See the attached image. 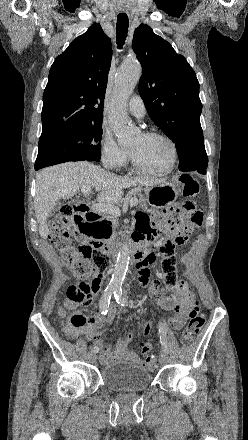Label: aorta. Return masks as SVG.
<instances>
[{"label": "aorta", "instance_id": "aorta-1", "mask_svg": "<svg viewBox=\"0 0 248 440\" xmlns=\"http://www.w3.org/2000/svg\"><path fill=\"white\" fill-rule=\"evenodd\" d=\"M141 72L140 63L136 59H129L121 64L117 73L109 123L118 142L122 145L130 144L138 132L137 128L130 123L126 103L140 79ZM129 260V247L127 244H123L118 252L114 273L109 284L111 288H121L128 269Z\"/></svg>", "mask_w": 248, "mask_h": 440}]
</instances>
